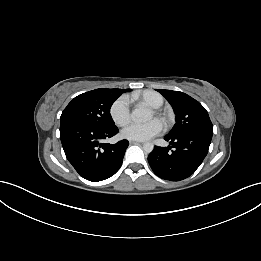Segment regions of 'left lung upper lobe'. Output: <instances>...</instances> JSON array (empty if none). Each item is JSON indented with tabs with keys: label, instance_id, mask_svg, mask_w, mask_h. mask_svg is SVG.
Here are the masks:
<instances>
[{
	"label": "left lung upper lobe",
	"instance_id": "1",
	"mask_svg": "<svg viewBox=\"0 0 261 261\" xmlns=\"http://www.w3.org/2000/svg\"><path fill=\"white\" fill-rule=\"evenodd\" d=\"M157 91L170 102L176 114V123L168 134L169 136L197 131L213 132L209 115L198 101L180 91Z\"/></svg>",
	"mask_w": 261,
	"mask_h": 261
}]
</instances>
